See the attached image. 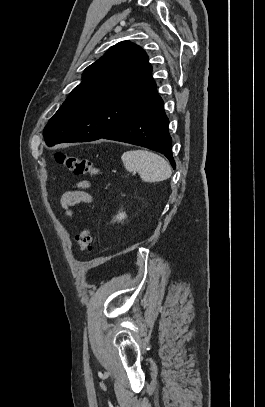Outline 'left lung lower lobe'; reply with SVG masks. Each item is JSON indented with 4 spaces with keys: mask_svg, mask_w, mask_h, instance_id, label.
<instances>
[{
    "mask_svg": "<svg viewBox=\"0 0 265 407\" xmlns=\"http://www.w3.org/2000/svg\"><path fill=\"white\" fill-rule=\"evenodd\" d=\"M160 99L155 105L128 120L104 139L140 145L163 153L176 167L172 156L171 137L168 132L169 120Z\"/></svg>",
    "mask_w": 265,
    "mask_h": 407,
    "instance_id": "1",
    "label": "left lung lower lobe"
}]
</instances>
